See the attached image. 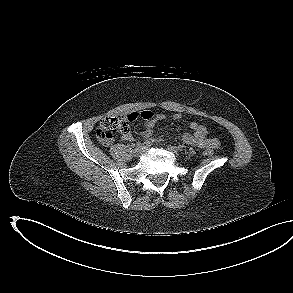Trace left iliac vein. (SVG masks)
Returning <instances> with one entry per match:
<instances>
[{"mask_svg":"<svg viewBox=\"0 0 293 293\" xmlns=\"http://www.w3.org/2000/svg\"><path fill=\"white\" fill-rule=\"evenodd\" d=\"M167 149H168L169 151H171L172 153H175V154L178 153V148H177L176 146H171V145H169V146L167 147Z\"/></svg>","mask_w":293,"mask_h":293,"instance_id":"obj_1","label":"left iliac vein"}]
</instances>
